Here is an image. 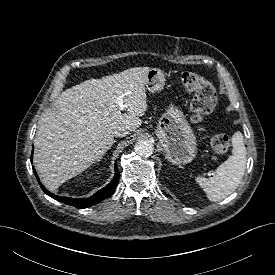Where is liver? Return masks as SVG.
Returning a JSON list of instances; mask_svg holds the SVG:
<instances>
[{
  "instance_id": "liver-1",
  "label": "liver",
  "mask_w": 275,
  "mask_h": 275,
  "mask_svg": "<svg viewBox=\"0 0 275 275\" xmlns=\"http://www.w3.org/2000/svg\"><path fill=\"white\" fill-rule=\"evenodd\" d=\"M149 67H135L63 91L40 118L33 162L42 183L56 189L100 159L120 129L135 131L147 110ZM123 95L127 113L117 97Z\"/></svg>"
}]
</instances>
